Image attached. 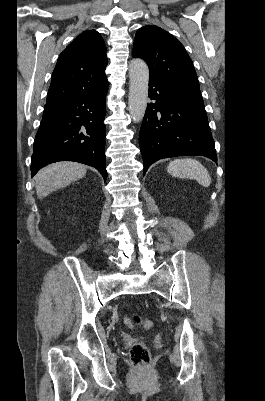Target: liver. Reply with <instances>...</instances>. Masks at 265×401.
<instances>
[{"label":"liver","mask_w":265,"mask_h":401,"mask_svg":"<svg viewBox=\"0 0 265 401\" xmlns=\"http://www.w3.org/2000/svg\"><path fill=\"white\" fill-rule=\"evenodd\" d=\"M87 172L85 164L79 162H53L41 168L35 176V186L38 198H44L53 190L68 186L73 180L83 178Z\"/></svg>","instance_id":"obj_1"}]
</instances>
